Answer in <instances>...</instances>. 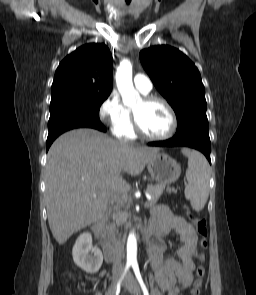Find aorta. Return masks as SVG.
I'll use <instances>...</instances> for the list:
<instances>
[{
	"label": "aorta",
	"mask_w": 256,
	"mask_h": 295,
	"mask_svg": "<svg viewBox=\"0 0 256 295\" xmlns=\"http://www.w3.org/2000/svg\"><path fill=\"white\" fill-rule=\"evenodd\" d=\"M116 84L122 101L126 106H132L141 100L139 93L135 90L132 82V64L129 60H123L116 72ZM137 260V240L134 232L127 239V262Z\"/></svg>",
	"instance_id": "aorta-1"
}]
</instances>
